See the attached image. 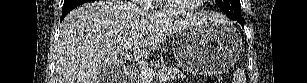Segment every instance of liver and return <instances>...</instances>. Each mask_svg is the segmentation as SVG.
Masks as SVG:
<instances>
[{
	"label": "liver",
	"mask_w": 307,
	"mask_h": 83,
	"mask_svg": "<svg viewBox=\"0 0 307 83\" xmlns=\"http://www.w3.org/2000/svg\"><path fill=\"white\" fill-rule=\"evenodd\" d=\"M218 21L217 14L209 12L174 17L121 0L83 4L62 21L54 83H102L100 73L119 66L127 43L132 44L135 57L145 59L172 34Z\"/></svg>",
	"instance_id": "1"
}]
</instances>
